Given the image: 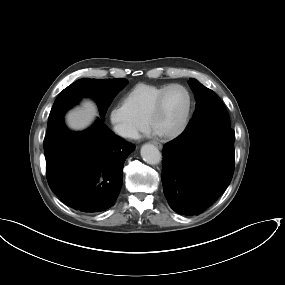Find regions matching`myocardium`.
Returning a JSON list of instances; mask_svg holds the SVG:
<instances>
[{
  "label": "myocardium",
  "mask_w": 285,
  "mask_h": 285,
  "mask_svg": "<svg viewBox=\"0 0 285 285\" xmlns=\"http://www.w3.org/2000/svg\"><path fill=\"white\" fill-rule=\"evenodd\" d=\"M173 87H180L185 91V93L187 95V106H186V109H185V112H184L182 118L180 119L179 123L177 124V126L173 130H171L169 132H160L154 128L153 120L162 109L166 93ZM192 105H193L192 95L186 86H184L183 84H180V83L168 84L166 87H164L162 89V91L159 93L158 97L156 98L155 102L153 103V105L149 109V111L145 117V122H146V124H148V126H150L152 128V130L154 131V133L157 136H159L161 138H165V139L175 138L179 134H181V132L184 130V128H185V126L189 120L190 114H191Z\"/></svg>",
  "instance_id": "f54148a6"
}]
</instances>
